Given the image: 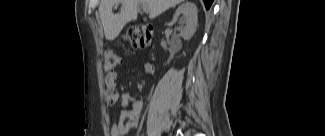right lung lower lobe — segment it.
I'll return each instance as SVG.
<instances>
[{"label": "right lung lower lobe", "mask_w": 325, "mask_h": 136, "mask_svg": "<svg viewBox=\"0 0 325 136\" xmlns=\"http://www.w3.org/2000/svg\"><path fill=\"white\" fill-rule=\"evenodd\" d=\"M206 9H209L210 6L212 5L213 0H203Z\"/></svg>", "instance_id": "obj_1"}]
</instances>
